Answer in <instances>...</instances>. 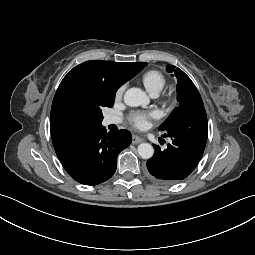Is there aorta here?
Wrapping results in <instances>:
<instances>
[{"instance_id":"obj_1","label":"aorta","mask_w":255,"mask_h":255,"mask_svg":"<svg viewBox=\"0 0 255 255\" xmlns=\"http://www.w3.org/2000/svg\"><path fill=\"white\" fill-rule=\"evenodd\" d=\"M124 102L130 107L147 106L150 102L149 97L139 88H130L124 94ZM138 154L143 159H150L154 154V148L149 143H141L138 146Z\"/></svg>"}]
</instances>
